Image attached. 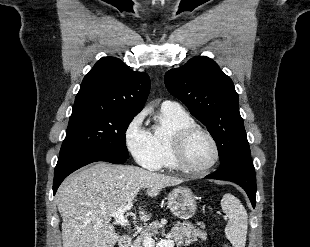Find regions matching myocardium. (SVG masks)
I'll return each instance as SVG.
<instances>
[{
	"mask_svg": "<svg viewBox=\"0 0 310 247\" xmlns=\"http://www.w3.org/2000/svg\"><path fill=\"white\" fill-rule=\"evenodd\" d=\"M196 134H203L205 135L209 141L211 142L214 150V157L213 160L206 166L202 168H193L188 164L187 161V144L191 137H193ZM173 155L175 162L177 164V167L184 172L191 174V175H203L207 173L209 170H211L219 161L220 159V150L218 143L214 136L205 128L194 124L185 126L183 128H180L176 131L174 135V141H173Z\"/></svg>",
	"mask_w": 310,
	"mask_h": 247,
	"instance_id": "obj_1",
	"label": "myocardium"
}]
</instances>
